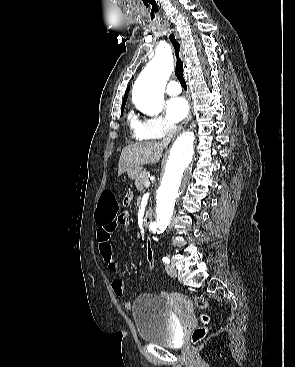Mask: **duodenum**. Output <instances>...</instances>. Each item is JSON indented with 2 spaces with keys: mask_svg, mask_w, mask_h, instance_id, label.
I'll return each mask as SVG.
<instances>
[{
  "mask_svg": "<svg viewBox=\"0 0 295 367\" xmlns=\"http://www.w3.org/2000/svg\"><path fill=\"white\" fill-rule=\"evenodd\" d=\"M152 220H153V213H152V211L147 210L145 212V215H144V218H143V224H144V226L146 228L149 227V225L151 224Z\"/></svg>",
  "mask_w": 295,
  "mask_h": 367,
  "instance_id": "1",
  "label": "duodenum"
}]
</instances>
